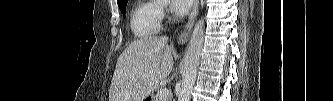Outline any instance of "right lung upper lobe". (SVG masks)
I'll list each match as a JSON object with an SVG mask.
<instances>
[{
	"instance_id": "right-lung-upper-lobe-1",
	"label": "right lung upper lobe",
	"mask_w": 333,
	"mask_h": 101,
	"mask_svg": "<svg viewBox=\"0 0 333 101\" xmlns=\"http://www.w3.org/2000/svg\"><path fill=\"white\" fill-rule=\"evenodd\" d=\"M125 1H126V0H117L118 5L121 4V3H123V2H125Z\"/></svg>"
}]
</instances>
